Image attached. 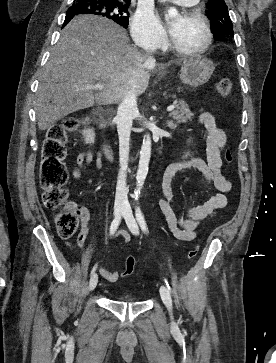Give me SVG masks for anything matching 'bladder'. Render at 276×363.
Wrapping results in <instances>:
<instances>
[{"label": "bladder", "mask_w": 276, "mask_h": 363, "mask_svg": "<svg viewBox=\"0 0 276 363\" xmlns=\"http://www.w3.org/2000/svg\"><path fill=\"white\" fill-rule=\"evenodd\" d=\"M123 301H125V302H136L137 300H136V299H134V298H132V297L125 296V297L123 298Z\"/></svg>", "instance_id": "bladder-1"}]
</instances>
